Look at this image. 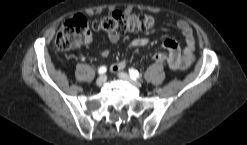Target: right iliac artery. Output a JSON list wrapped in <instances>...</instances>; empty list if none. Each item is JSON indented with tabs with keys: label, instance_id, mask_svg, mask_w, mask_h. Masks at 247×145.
Listing matches in <instances>:
<instances>
[{
	"label": "right iliac artery",
	"instance_id": "right-iliac-artery-1",
	"mask_svg": "<svg viewBox=\"0 0 247 145\" xmlns=\"http://www.w3.org/2000/svg\"><path fill=\"white\" fill-rule=\"evenodd\" d=\"M106 71H107V68L105 66H101L98 70L99 74H104L106 73Z\"/></svg>",
	"mask_w": 247,
	"mask_h": 145
}]
</instances>
